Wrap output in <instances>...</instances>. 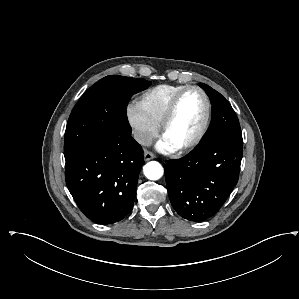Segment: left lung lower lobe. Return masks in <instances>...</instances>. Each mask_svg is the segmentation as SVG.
Returning a JSON list of instances; mask_svg holds the SVG:
<instances>
[{"mask_svg":"<svg viewBox=\"0 0 299 299\" xmlns=\"http://www.w3.org/2000/svg\"><path fill=\"white\" fill-rule=\"evenodd\" d=\"M243 142L218 137L164 166L169 198L176 212L190 221L212 217L229 197L239 177Z\"/></svg>","mask_w":299,"mask_h":299,"instance_id":"obj_1","label":"left lung lower lobe"}]
</instances>
